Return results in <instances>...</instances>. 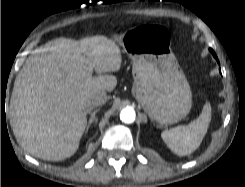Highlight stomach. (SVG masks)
<instances>
[{"instance_id": "1", "label": "stomach", "mask_w": 245, "mask_h": 187, "mask_svg": "<svg viewBox=\"0 0 245 187\" xmlns=\"http://www.w3.org/2000/svg\"><path fill=\"white\" fill-rule=\"evenodd\" d=\"M133 61L132 94L159 124L176 123L192 105L189 83L171 50V34L160 24L134 27L118 38Z\"/></svg>"}]
</instances>
